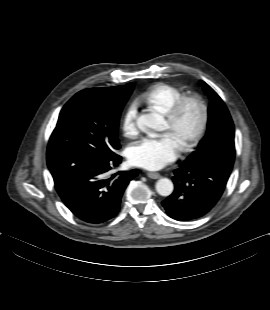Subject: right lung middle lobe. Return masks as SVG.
Returning <instances> with one entry per match:
<instances>
[{
	"mask_svg": "<svg viewBox=\"0 0 270 310\" xmlns=\"http://www.w3.org/2000/svg\"><path fill=\"white\" fill-rule=\"evenodd\" d=\"M134 87L132 85L131 94ZM128 96L105 88H89L75 94L60 112L48 150L72 149L109 156L120 148L118 124Z\"/></svg>",
	"mask_w": 270,
	"mask_h": 310,
	"instance_id": "right-lung-middle-lobe-1",
	"label": "right lung middle lobe"
}]
</instances>
